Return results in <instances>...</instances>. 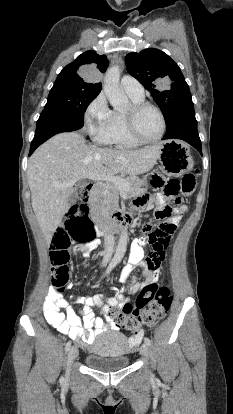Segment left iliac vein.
Wrapping results in <instances>:
<instances>
[{"mask_svg":"<svg viewBox=\"0 0 233 414\" xmlns=\"http://www.w3.org/2000/svg\"><path fill=\"white\" fill-rule=\"evenodd\" d=\"M140 353L145 358H148V356H149V348H148L147 344H145V343L142 344V346L140 348Z\"/></svg>","mask_w":233,"mask_h":414,"instance_id":"left-iliac-vein-1","label":"left iliac vein"}]
</instances>
